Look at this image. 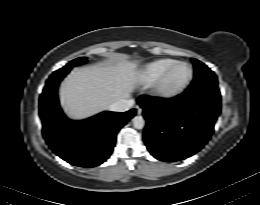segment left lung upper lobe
I'll list each match as a JSON object with an SVG mask.
<instances>
[{
  "instance_id": "5c2ea615",
  "label": "left lung upper lobe",
  "mask_w": 260,
  "mask_h": 205,
  "mask_svg": "<svg viewBox=\"0 0 260 205\" xmlns=\"http://www.w3.org/2000/svg\"><path fill=\"white\" fill-rule=\"evenodd\" d=\"M193 63L195 68L194 80L186 91L205 93L220 98L217 77L214 72L196 59H193Z\"/></svg>"
}]
</instances>
